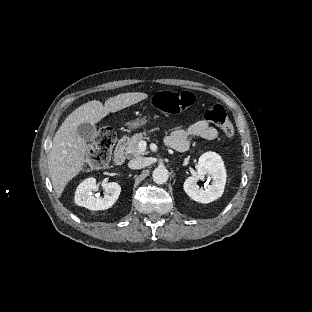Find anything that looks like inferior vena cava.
<instances>
[{
  "mask_svg": "<svg viewBox=\"0 0 312 312\" xmlns=\"http://www.w3.org/2000/svg\"><path fill=\"white\" fill-rule=\"evenodd\" d=\"M146 166V159L144 157H137L129 161L128 167L130 169H141Z\"/></svg>",
  "mask_w": 312,
  "mask_h": 312,
  "instance_id": "1",
  "label": "inferior vena cava"
}]
</instances>
